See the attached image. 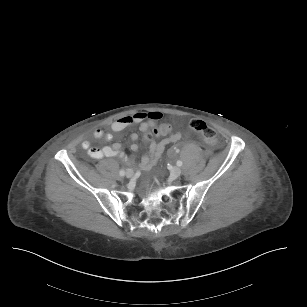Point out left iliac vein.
I'll use <instances>...</instances> for the list:
<instances>
[{"label": "left iliac vein", "instance_id": "obj_1", "mask_svg": "<svg viewBox=\"0 0 307 307\" xmlns=\"http://www.w3.org/2000/svg\"><path fill=\"white\" fill-rule=\"evenodd\" d=\"M171 175L174 178H178L181 175V169L179 167H173L171 170Z\"/></svg>", "mask_w": 307, "mask_h": 307}]
</instances>
